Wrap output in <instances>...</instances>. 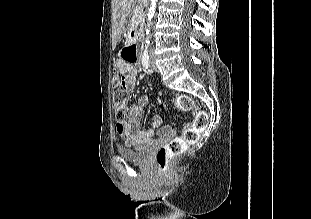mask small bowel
<instances>
[{
    "label": "small bowel",
    "mask_w": 311,
    "mask_h": 219,
    "mask_svg": "<svg viewBox=\"0 0 311 219\" xmlns=\"http://www.w3.org/2000/svg\"><path fill=\"white\" fill-rule=\"evenodd\" d=\"M115 66L125 76L127 91H132L136 86L137 68L120 58L116 59ZM148 103L149 97L141 96L137 103L130 107L127 120L117 122L116 130L126 144L133 145L149 141L154 136L155 130L162 125V117L160 115H154L151 119L150 127L144 131L140 130L143 109ZM161 133L163 136H168L171 131L164 129Z\"/></svg>",
    "instance_id": "small-bowel-1"
}]
</instances>
